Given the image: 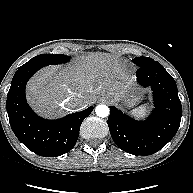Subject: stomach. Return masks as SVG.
Wrapping results in <instances>:
<instances>
[{
  "label": "stomach",
  "mask_w": 193,
  "mask_h": 193,
  "mask_svg": "<svg viewBox=\"0 0 193 193\" xmlns=\"http://www.w3.org/2000/svg\"><path fill=\"white\" fill-rule=\"evenodd\" d=\"M107 95L116 102H121L126 107H132L141 99V95L128 93L122 97H118L115 94L107 93Z\"/></svg>",
  "instance_id": "0dacf381"
}]
</instances>
